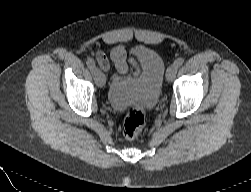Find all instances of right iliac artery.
I'll return each mask as SVG.
<instances>
[{
	"mask_svg": "<svg viewBox=\"0 0 251 192\" xmlns=\"http://www.w3.org/2000/svg\"><path fill=\"white\" fill-rule=\"evenodd\" d=\"M86 64H87L88 68L91 71L94 70V68H95V62H94V60L92 58L87 59Z\"/></svg>",
	"mask_w": 251,
	"mask_h": 192,
	"instance_id": "1",
	"label": "right iliac artery"
}]
</instances>
